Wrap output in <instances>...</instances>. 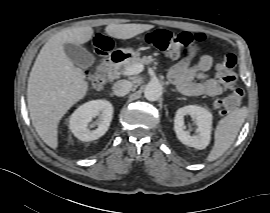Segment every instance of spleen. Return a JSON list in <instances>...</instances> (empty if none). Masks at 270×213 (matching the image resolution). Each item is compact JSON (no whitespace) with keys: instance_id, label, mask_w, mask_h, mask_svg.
<instances>
[{"instance_id":"1","label":"spleen","mask_w":270,"mask_h":213,"mask_svg":"<svg viewBox=\"0 0 270 213\" xmlns=\"http://www.w3.org/2000/svg\"><path fill=\"white\" fill-rule=\"evenodd\" d=\"M247 116L246 108L235 110L222 118L215 129L214 146L207 157L211 162L222 156L233 144Z\"/></svg>"}]
</instances>
